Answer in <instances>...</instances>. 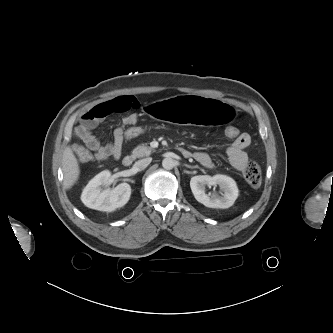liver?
<instances>
[{"label":"liver","mask_w":333,"mask_h":333,"mask_svg":"<svg viewBox=\"0 0 333 333\" xmlns=\"http://www.w3.org/2000/svg\"><path fill=\"white\" fill-rule=\"evenodd\" d=\"M62 165L64 185L66 188H71L79 178L80 169L77 158L70 147H67L63 152Z\"/></svg>","instance_id":"1"}]
</instances>
